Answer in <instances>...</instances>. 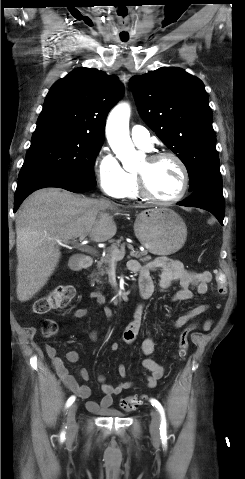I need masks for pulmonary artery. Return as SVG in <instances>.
Instances as JSON below:
<instances>
[{
  "instance_id": "e3ab8cb5",
  "label": "pulmonary artery",
  "mask_w": 245,
  "mask_h": 479,
  "mask_svg": "<svg viewBox=\"0 0 245 479\" xmlns=\"http://www.w3.org/2000/svg\"><path fill=\"white\" fill-rule=\"evenodd\" d=\"M131 138L138 147L146 150L150 149V133L145 127L139 125L133 126L131 129Z\"/></svg>"
}]
</instances>
